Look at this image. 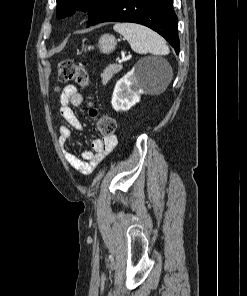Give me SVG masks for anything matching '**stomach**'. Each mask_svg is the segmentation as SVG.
Segmentation results:
<instances>
[{
  "mask_svg": "<svg viewBox=\"0 0 247 296\" xmlns=\"http://www.w3.org/2000/svg\"><path fill=\"white\" fill-rule=\"evenodd\" d=\"M116 39L113 35L104 34L99 38L98 47L100 51L104 54H109L113 52L116 48ZM86 51V49H85Z\"/></svg>",
  "mask_w": 247,
  "mask_h": 296,
  "instance_id": "stomach-1",
  "label": "stomach"
}]
</instances>
